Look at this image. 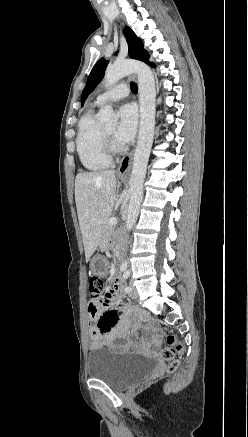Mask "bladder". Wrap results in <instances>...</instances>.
<instances>
[{
	"label": "bladder",
	"instance_id": "obj_1",
	"mask_svg": "<svg viewBox=\"0 0 248 437\" xmlns=\"http://www.w3.org/2000/svg\"><path fill=\"white\" fill-rule=\"evenodd\" d=\"M156 367V360L143 354L99 349L89 356L88 376L122 389L149 377Z\"/></svg>",
	"mask_w": 248,
	"mask_h": 437
}]
</instances>
